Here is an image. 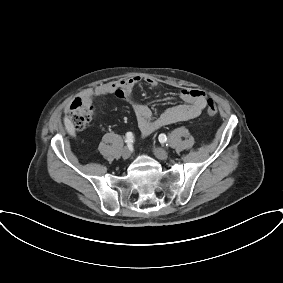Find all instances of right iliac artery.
Wrapping results in <instances>:
<instances>
[{
  "label": "right iliac artery",
  "mask_w": 283,
  "mask_h": 283,
  "mask_svg": "<svg viewBox=\"0 0 283 283\" xmlns=\"http://www.w3.org/2000/svg\"><path fill=\"white\" fill-rule=\"evenodd\" d=\"M133 138H134V136L131 132H128L126 134V141L125 142L127 143L128 146L133 143Z\"/></svg>",
  "instance_id": "obj_1"
}]
</instances>
